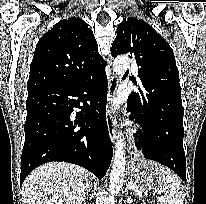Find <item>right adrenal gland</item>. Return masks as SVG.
Segmentation results:
<instances>
[{
	"label": "right adrenal gland",
	"mask_w": 206,
	"mask_h": 204,
	"mask_svg": "<svg viewBox=\"0 0 206 204\" xmlns=\"http://www.w3.org/2000/svg\"><path fill=\"white\" fill-rule=\"evenodd\" d=\"M91 189H92V186L90 185L89 186V188H88V190H87V193H86V196L88 197V194L90 193V191H91ZM85 199H86V197H85ZM85 199L83 200V204H85Z\"/></svg>",
	"instance_id": "2a0ac1e0"
}]
</instances>
